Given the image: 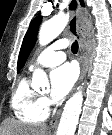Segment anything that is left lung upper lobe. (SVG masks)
<instances>
[{
  "instance_id": "1",
  "label": "left lung upper lobe",
  "mask_w": 112,
  "mask_h": 135,
  "mask_svg": "<svg viewBox=\"0 0 112 135\" xmlns=\"http://www.w3.org/2000/svg\"><path fill=\"white\" fill-rule=\"evenodd\" d=\"M41 20H42V16H37L30 23V26L25 34L20 49L18 64H17V72H19L20 69L24 66L31 49L35 45L36 36L38 33V28L41 23Z\"/></svg>"
}]
</instances>
